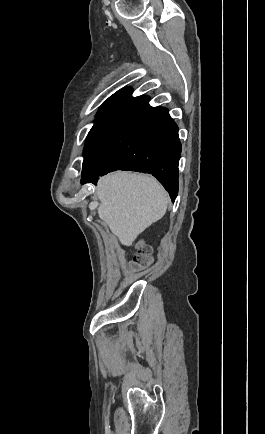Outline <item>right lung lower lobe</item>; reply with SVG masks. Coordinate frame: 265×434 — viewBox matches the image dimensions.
Wrapping results in <instances>:
<instances>
[{
    "label": "right lung lower lobe",
    "mask_w": 265,
    "mask_h": 434,
    "mask_svg": "<svg viewBox=\"0 0 265 434\" xmlns=\"http://www.w3.org/2000/svg\"><path fill=\"white\" fill-rule=\"evenodd\" d=\"M126 88L107 116L83 161L82 184L114 170L150 173L169 192H178L181 144L178 127L163 107L149 97H131Z\"/></svg>",
    "instance_id": "98d812e1"
}]
</instances>
